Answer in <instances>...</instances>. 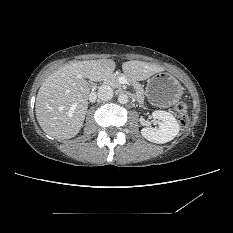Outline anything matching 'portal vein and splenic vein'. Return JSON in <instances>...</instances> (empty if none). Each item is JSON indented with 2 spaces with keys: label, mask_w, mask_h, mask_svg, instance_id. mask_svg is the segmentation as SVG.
Here are the masks:
<instances>
[{
  "label": "portal vein and splenic vein",
  "mask_w": 233,
  "mask_h": 233,
  "mask_svg": "<svg viewBox=\"0 0 233 233\" xmlns=\"http://www.w3.org/2000/svg\"><path fill=\"white\" fill-rule=\"evenodd\" d=\"M77 107V103H74L72 106H71V109H70V113H72Z\"/></svg>",
  "instance_id": "18ae733b"
}]
</instances>
